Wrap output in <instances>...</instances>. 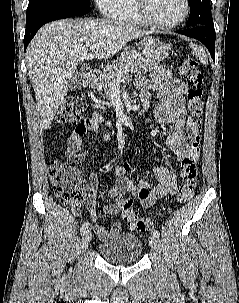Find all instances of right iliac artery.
<instances>
[{"instance_id":"obj_1","label":"right iliac artery","mask_w":239,"mask_h":303,"mask_svg":"<svg viewBox=\"0 0 239 303\" xmlns=\"http://www.w3.org/2000/svg\"><path fill=\"white\" fill-rule=\"evenodd\" d=\"M88 227H89V223L85 222L80 229L81 233H84L86 230H88Z\"/></svg>"}]
</instances>
